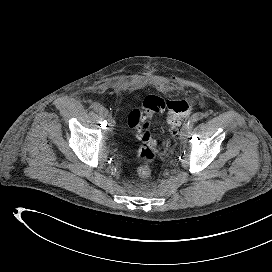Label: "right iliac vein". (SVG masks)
Wrapping results in <instances>:
<instances>
[{"mask_svg":"<svg viewBox=\"0 0 272 272\" xmlns=\"http://www.w3.org/2000/svg\"><path fill=\"white\" fill-rule=\"evenodd\" d=\"M100 115L104 118H106L109 122V125L111 126V120H110V115H109V112L103 108V110L101 112H99Z\"/></svg>","mask_w":272,"mask_h":272,"instance_id":"obj_1","label":"right iliac vein"}]
</instances>
